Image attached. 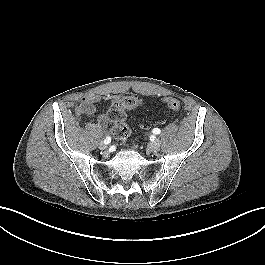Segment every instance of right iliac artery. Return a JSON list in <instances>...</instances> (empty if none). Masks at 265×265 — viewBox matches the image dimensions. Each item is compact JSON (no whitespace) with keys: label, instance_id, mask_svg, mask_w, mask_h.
Listing matches in <instances>:
<instances>
[{"label":"right iliac artery","instance_id":"82829eb1","mask_svg":"<svg viewBox=\"0 0 265 265\" xmlns=\"http://www.w3.org/2000/svg\"><path fill=\"white\" fill-rule=\"evenodd\" d=\"M111 142V137H106L105 139H104V143L105 144H109Z\"/></svg>","mask_w":265,"mask_h":265}]
</instances>
